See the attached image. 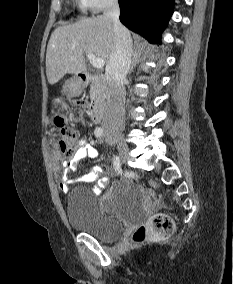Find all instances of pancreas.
I'll use <instances>...</instances> for the list:
<instances>
[{"label":"pancreas","instance_id":"obj_1","mask_svg":"<svg viewBox=\"0 0 233 284\" xmlns=\"http://www.w3.org/2000/svg\"><path fill=\"white\" fill-rule=\"evenodd\" d=\"M90 94H91V98H94V97H95L94 90H91Z\"/></svg>","mask_w":233,"mask_h":284}]
</instances>
